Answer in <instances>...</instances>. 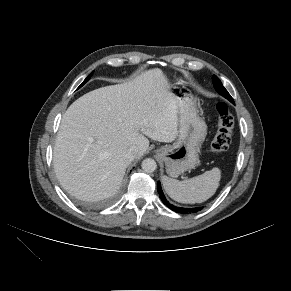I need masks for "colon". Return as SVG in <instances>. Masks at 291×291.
<instances>
[{"label":"colon","mask_w":291,"mask_h":291,"mask_svg":"<svg viewBox=\"0 0 291 291\" xmlns=\"http://www.w3.org/2000/svg\"><path fill=\"white\" fill-rule=\"evenodd\" d=\"M216 109L218 113V127L211 142V150L214 153H222L230 146L234 119L227 104L220 102L217 104Z\"/></svg>","instance_id":"1"}]
</instances>
